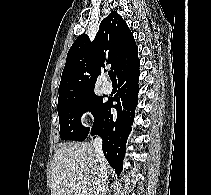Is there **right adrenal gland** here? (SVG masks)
Masks as SVG:
<instances>
[{
    "instance_id": "right-adrenal-gland-1",
    "label": "right adrenal gland",
    "mask_w": 211,
    "mask_h": 195,
    "mask_svg": "<svg viewBox=\"0 0 211 195\" xmlns=\"http://www.w3.org/2000/svg\"><path fill=\"white\" fill-rule=\"evenodd\" d=\"M108 191H109V186L107 185L104 191V195H107Z\"/></svg>"
}]
</instances>
